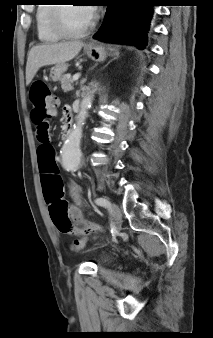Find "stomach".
<instances>
[{"label": "stomach", "mask_w": 213, "mask_h": 338, "mask_svg": "<svg viewBox=\"0 0 213 338\" xmlns=\"http://www.w3.org/2000/svg\"><path fill=\"white\" fill-rule=\"evenodd\" d=\"M112 51L117 53L115 50H113L111 47H106L102 44L98 43H91L88 45H85L84 47V52L85 54L91 58L92 60H102L104 59L107 55H109ZM67 64L62 63V64H56L51 68L50 71V78L52 81L56 82L60 80L64 74V72L67 70Z\"/></svg>", "instance_id": "0dacf381"}]
</instances>
